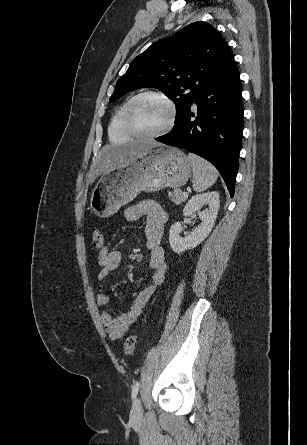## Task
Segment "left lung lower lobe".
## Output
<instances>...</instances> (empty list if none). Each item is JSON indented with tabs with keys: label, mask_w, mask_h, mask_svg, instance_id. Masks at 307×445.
Listing matches in <instances>:
<instances>
[{
	"label": "left lung lower lobe",
	"mask_w": 307,
	"mask_h": 445,
	"mask_svg": "<svg viewBox=\"0 0 307 445\" xmlns=\"http://www.w3.org/2000/svg\"><path fill=\"white\" fill-rule=\"evenodd\" d=\"M241 91L239 70L233 58L193 101L198 110L196 120H191L194 113L189 109L171 132L156 138L211 162L223 177L231 197L235 191L243 131Z\"/></svg>",
	"instance_id": "obj_1"
}]
</instances>
